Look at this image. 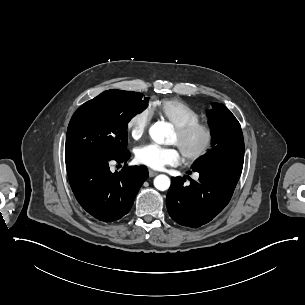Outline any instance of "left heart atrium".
<instances>
[{
  "mask_svg": "<svg viewBox=\"0 0 305 305\" xmlns=\"http://www.w3.org/2000/svg\"><path fill=\"white\" fill-rule=\"evenodd\" d=\"M135 158L140 164L158 169L167 164L178 163L180 150L176 145L160 146L155 143H147L136 148Z\"/></svg>",
  "mask_w": 305,
  "mask_h": 305,
  "instance_id": "39dd6f15",
  "label": "left heart atrium"
}]
</instances>
